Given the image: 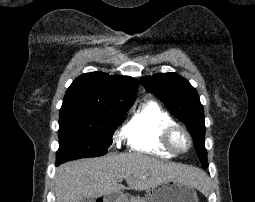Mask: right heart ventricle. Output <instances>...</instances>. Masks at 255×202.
I'll return each instance as SVG.
<instances>
[{
    "label": "right heart ventricle",
    "mask_w": 255,
    "mask_h": 202,
    "mask_svg": "<svg viewBox=\"0 0 255 202\" xmlns=\"http://www.w3.org/2000/svg\"><path fill=\"white\" fill-rule=\"evenodd\" d=\"M174 121L156 101L148 100L136 109L121 129V137L134 151L159 157L174 156L162 143L161 136Z\"/></svg>",
    "instance_id": "e07e8e85"
}]
</instances>
